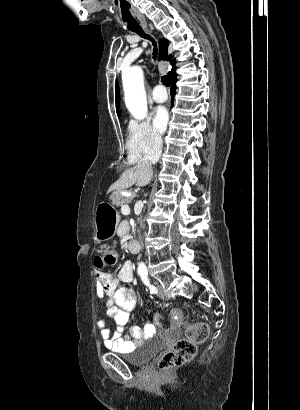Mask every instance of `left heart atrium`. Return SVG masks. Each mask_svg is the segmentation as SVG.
<instances>
[{
  "instance_id": "1",
  "label": "left heart atrium",
  "mask_w": 300,
  "mask_h": 410,
  "mask_svg": "<svg viewBox=\"0 0 300 410\" xmlns=\"http://www.w3.org/2000/svg\"><path fill=\"white\" fill-rule=\"evenodd\" d=\"M169 120L168 111L164 106H159L154 114V126L158 131H164Z\"/></svg>"
}]
</instances>
